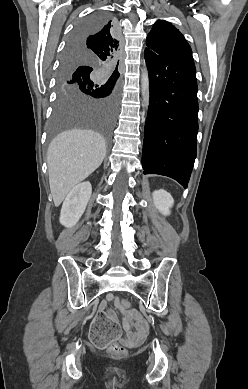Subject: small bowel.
Listing matches in <instances>:
<instances>
[{
	"mask_svg": "<svg viewBox=\"0 0 248 389\" xmlns=\"http://www.w3.org/2000/svg\"><path fill=\"white\" fill-rule=\"evenodd\" d=\"M114 301L118 309L122 312L123 317V329L125 332V337L121 340L129 346L139 344L147 334V325L144 322L142 316L137 311H123L122 307L119 304V299L117 296L109 293L106 295L105 300L101 303L100 309L103 311L106 308L108 302ZM110 318L116 319V314L114 312H109Z\"/></svg>",
	"mask_w": 248,
	"mask_h": 389,
	"instance_id": "c3829d8e",
	"label": "small bowel"
}]
</instances>
